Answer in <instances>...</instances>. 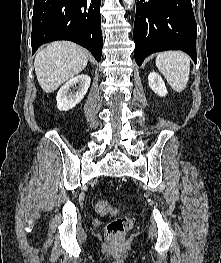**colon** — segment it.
I'll return each instance as SVG.
<instances>
[{"instance_id": "5ec220e1", "label": "colon", "mask_w": 221, "mask_h": 263, "mask_svg": "<svg viewBox=\"0 0 221 263\" xmlns=\"http://www.w3.org/2000/svg\"><path fill=\"white\" fill-rule=\"evenodd\" d=\"M96 213L100 216L112 215L115 213V208L109 200L103 199L96 204ZM131 227L132 219L130 217H117L107 224L106 235L114 244H119Z\"/></svg>"}]
</instances>
